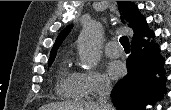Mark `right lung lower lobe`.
I'll use <instances>...</instances> for the list:
<instances>
[{"mask_svg": "<svg viewBox=\"0 0 171 110\" xmlns=\"http://www.w3.org/2000/svg\"><path fill=\"white\" fill-rule=\"evenodd\" d=\"M148 37H154L150 32ZM156 44L138 39L132 42L126 61L128 74L117 82L111 92L113 104L120 110H145L147 103L160 100L166 92L165 60ZM162 72L160 79L155 75Z\"/></svg>", "mask_w": 171, "mask_h": 110, "instance_id": "1", "label": "right lung lower lobe"}]
</instances>
